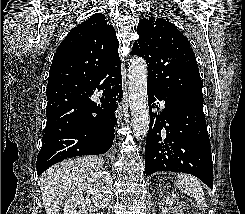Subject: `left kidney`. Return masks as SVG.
Instances as JSON below:
<instances>
[{"mask_svg":"<svg viewBox=\"0 0 245 214\" xmlns=\"http://www.w3.org/2000/svg\"><path fill=\"white\" fill-rule=\"evenodd\" d=\"M174 203H176V201L172 197L167 196L163 202V209L161 211V214H172L170 213V210L174 209L173 207ZM173 214H177V213H173Z\"/></svg>","mask_w":245,"mask_h":214,"instance_id":"5707ae66","label":"left kidney"}]
</instances>
